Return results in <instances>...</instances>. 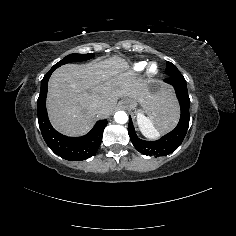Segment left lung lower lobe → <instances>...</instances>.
Returning a JSON list of instances; mask_svg holds the SVG:
<instances>
[{
    "mask_svg": "<svg viewBox=\"0 0 236 236\" xmlns=\"http://www.w3.org/2000/svg\"><path fill=\"white\" fill-rule=\"evenodd\" d=\"M164 81L174 87L180 103L181 116L176 128L157 141H145L137 137L131 118L128 125V133L134 147L142 154L153 157L174 152L183 142L189 126L190 99L184 77L182 75L168 76Z\"/></svg>",
    "mask_w": 236,
    "mask_h": 236,
    "instance_id": "0a47b994",
    "label": "left lung lower lobe"
}]
</instances>
